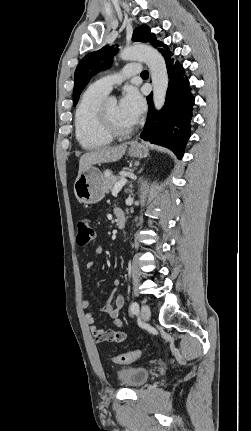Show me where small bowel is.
<instances>
[{"label": "small bowel", "instance_id": "obj_1", "mask_svg": "<svg viewBox=\"0 0 251 431\" xmlns=\"http://www.w3.org/2000/svg\"><path fill=\"white\" fill-rule=\"evenodd\" d=\"M120 210V209H116ZM115 210V211H116ZM103 253L102 246L95 248V254L97 256ZM95 265L94 261L87 263V268L92 269ZM120 286L119 280H114L112 284V292L109 295L107 301L101 306V311L106 313L112 320V327L108 329L100 328L96 325L95 317L92 313L87 312L85 314V321L89 325L90 332L97 342H112L119 343L126 339V333L122 330L124 327L123 321L119 318L120 312L124 306V298L121 295H116L115 292ZM81 307L88 309L90 307V301L87 298L81 299Z\"/></svg>", "mask_w": 251, "mask_h": 431}]
</instances>
